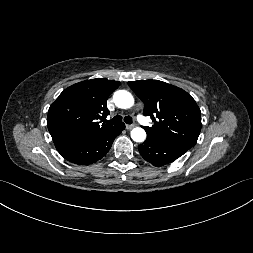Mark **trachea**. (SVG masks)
Masks as SVG:
<instances>
[{"label": "trachea", "mask_w": 253, "mask_h": 253, "mask_svg": "<svg viewBox=\"0 0 253 253\" xmlns=\"http://www.w3.org/2000/svg\"><path fill=\"white\" fill-rule=\"evenodd\" d=\"M122 121V116L116 115L113 119L108 120L106 123H119ZM124 122L127 124H132V118L130 116L124 117Z\"/></svg>", "instance_id": "trachea-1"}]
</instances>
